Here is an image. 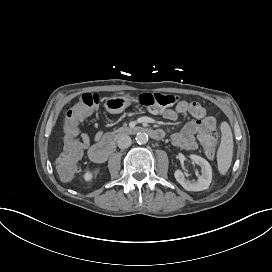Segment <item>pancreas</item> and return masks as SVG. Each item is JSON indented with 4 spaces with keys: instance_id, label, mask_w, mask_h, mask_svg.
Instances as JSON below:
<instances>
[{
    "instance_id": "pancreas-1",
    "label": "pancreas",
    "mask_w": 272,
    "mask_h": 272,
    "mask_svg": "<svg viewBox=\"0 0 272 272\" xmlns=\"http://www.w3.org/2000/svg\"><path fill=\"white\" fill-rule=\"evenodd\" d=\"M130 131V128L127 127V126H124V127H120L119 129L117 130H114L113 131V134H115V137L118 138L119 136H121L122 134H126Z\"/></svg>"
}]
</instances>
